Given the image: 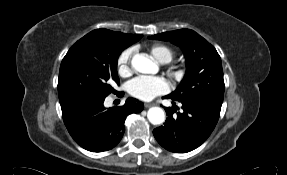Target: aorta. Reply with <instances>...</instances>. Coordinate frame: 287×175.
Segmentation results:
<instances>
[{"instance_id": "762f6f07", "label": "aorta", "mask_w": 287, "mask_h": 175, "mask_svg": "<svg viewBox=\"0 0 287 175\" xmlns=\"http://www.w3.org/2000/svg\"><path fill=\"white\" fill-rule=\"evenodd\" d=\"M131 64L132 67L140 73L154 74L158 71L157 64L142 54L133 56ZM147 117L153 125H160L165 121V113L160 107H151L148 110Z\"/></svg>"}]
</instances>
